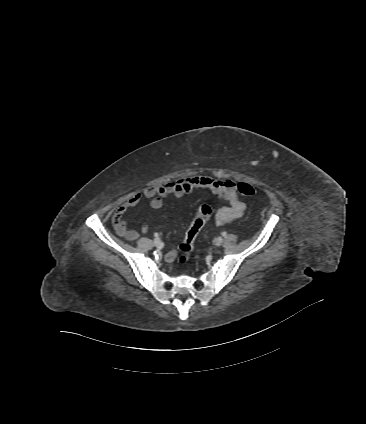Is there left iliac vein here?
<instances>
[{"label":"left iliac vein","instance_id":"obj_1","mask_svg":"<svg viewBox=\"0 0 366 424\" xmlns=\"http://www.w3.org/2000/svg\"><path fill=\"white\" fill-rule=\"evenodd\" d=\"M223 242V238L222 237H217L214 241L216 246H220Z\"/></svg>","mask_w":366,"mask_h":424}]
</instances>
